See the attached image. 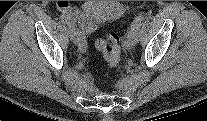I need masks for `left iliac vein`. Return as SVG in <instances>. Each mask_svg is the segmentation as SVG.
Instances as JSON below:
<instances>
[{"mask_svg":"<svg viewBox=\"0 0 207 121\" xmlns=\"http://www.w3.org/2000/svg\"><path fill=\"white\" fill-rule=\"evenodd\" d=\"M138 38H139L138 31L135 32L133 35H129L124 42L125 47L128 49L133 48L136 45V43L138 42Z\"/></svg>","mask_w":207,"mask_h":121,"instance_id":"4c4485c4","label":"left iliac vein"}]
</instances>
